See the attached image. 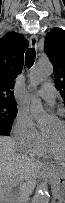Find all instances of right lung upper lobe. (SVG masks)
Wrapping results in <instances>:
<instances>
[{
  "label": "right lung upper lobe",
  "mask_w": 65,
  "mask_h": 203,
  "mask_svg": "<svg viewBox=\"0 0 65 203\" xmlns=\"http://www.w3.org/2000/svg\"><path fill=\"white\" fill-rule=\"evenodd\" d=\"M28 41L18 33H8L0 39V102L16 103L11 89L22 72Z\"/></svg>",
  "instance_id": "obj_1"
}]
</instances>
